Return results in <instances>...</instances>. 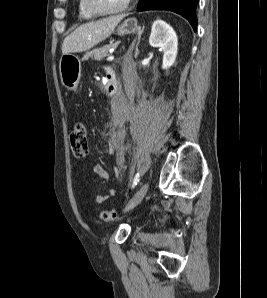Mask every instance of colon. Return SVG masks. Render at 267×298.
<instances>
[{
    "label": "colon",
    "instance_id": "obj_1",
    "mask_svg": "<svg viewBox=\"0 0 267 298\" xmlns=\"http://www.w3.org/2000/svg\"><path fill=\"white\" fill-rule=\"evenodd\" d=\"M69 141L72 152L77 158L87 156L89 152V144L88 131L85 123H78L73 128L69 136ZM100 217L103 221L112 222L118 218V214L114 210H105L101 212Z\"/></svg>",
    "mask_w": 267,
    "mask_h": 298
}]
</instances>
